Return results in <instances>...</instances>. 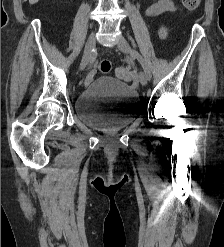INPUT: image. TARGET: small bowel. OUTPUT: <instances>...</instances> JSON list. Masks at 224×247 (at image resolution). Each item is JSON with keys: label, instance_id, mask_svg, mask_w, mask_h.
<instances>
[{"label": "small bowel", "instance_id": "1", "mask_svg": "<svg viewBox=\"0 0 224 247\" xmlns=\"http://www.w3.org/2000/svg\"><path fill=\"white\" fill-rule=\"evenodd\" d=\"M174 11H176V6L171 0H156L147 7V9L145 10V15L148 17H155L165 12ZM159 34L161 38H166L167 29L165 27H161L159 30Z\"/></svg>", "mask_w": 224, "mask_h": 247}]
</instances>
